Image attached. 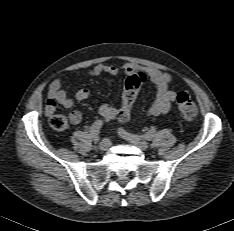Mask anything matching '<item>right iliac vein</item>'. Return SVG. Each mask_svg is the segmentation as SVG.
Returning <instances> with one entry per match:
<instances>
[{
  "label": "right iliac vein",
  "mask_w": 234,
  "mask_h": 231,
  "mask_svg": "<svg viewBox=\"0 0 234 231\" xmlns=\"http://www.w3.org/2000/svg\"><path fill=\"white\" fill-rule=\"evenodd\" d=\"M111 146V141L108 138L103 139L100 143H99V149L101 151H106L109 149V147Z\"/></svg>",
  "instance_id": "63e3f726"
}]
</instances>
